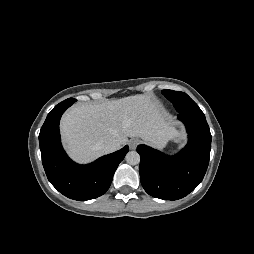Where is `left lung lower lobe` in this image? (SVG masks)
I'll list each match as a JSON object with an SVG mask.
<instances>
[{
  "label": "left lung lower lobe",
  "mask_w": 254,
  "mask_h": 254,
  "mask_svg": "<svg viewBox=\"0 0 254 254\" xmlns=\"http://www.w3.org/2000/svg\"><path fill=\"white\" fill-rule=\"evenodd\" d=\"M188 133V143L178 154L165 155L146 145L137 152L141 183L145 191L156 198L177 200L193 191L202 181L211 150V133L204 114L179 113Z\"/></svg>",
  "instance_id": "0a47b994"
}]
</instances>
